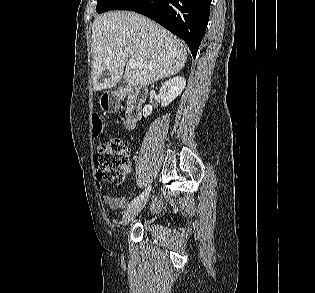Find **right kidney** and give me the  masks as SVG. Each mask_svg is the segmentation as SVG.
<instances>
[{"instance_id": "obj_1", "label": "right kidney", "mask_w": 315, "mask_h": 293, "mask_svg": "<svg viewBox=\"0 0 315 293\" xmlns=\"http://www.w3.org/2000/svg\"><path fill=\"white\" fill-rule=\"evenodd\" d=\"M186 81L184 77L177 76L173 79L166 81L159 91V97L161 99V105L163 107L168 106L178 95L181 94L185 88ZM152 113V107L145 105L143 108V116L147 117Z\"/></svg>"}]
</instances>
